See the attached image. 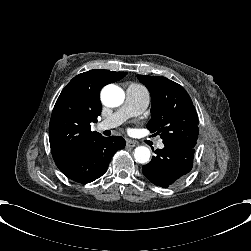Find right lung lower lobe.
Instances as JSON below:
<instances>
[{"label": "right lung lower lobe", "mask_w": 251, "mask_h": 251, "mask_svg": "<svg viewBox=\"0 0 251 251\" xmlns=\"http://www.w3.org/2000/svg\"><path fill=\"white\" fill-rule=\"evenodd\" d=\"M125 147L122 137H98L85 152L71 163L59 168L69 179L87 184L101 177L108 168L114 153Z\"/></svg>", "instance_id": "98d812e1"}]
</instances>
